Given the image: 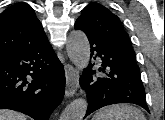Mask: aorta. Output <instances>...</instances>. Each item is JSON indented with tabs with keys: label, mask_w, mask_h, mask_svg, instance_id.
Wrapping results in <instances>:
<instances>
[{
	"label": "aorta",
	"mask_w": 165,
	"mask_h": 120,
	"mask_svg": "<svg viewBox=\"0 0 165 120\" xmlns=\"http://www.w3.org/2000/svg\"><path fill=\"white\" fill-rule=\"evenodd\" d=\"M66 50L69 59L78 69L88 66L90 45L88 38L82 31L74 30L70 33L66 43ZM87 107L86 99H75L62 112L60 120H83Z\"/></svg>",
	"instance_id": "1"
}]
</instances>
